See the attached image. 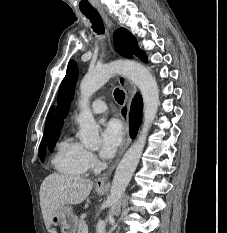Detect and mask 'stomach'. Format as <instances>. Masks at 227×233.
I'll use <instances>...</instances> for the list:
<instances>
[{
  "label": "stomach",
  "mask_w": 227,
  "mask_h": 233,
  "mask_svg": "<svg viewBox=\"0 0 227 233\" xmlns=\"http://www.w3.org/2000/svg\"><path fill=\"white\" fill-rule=\"evenodd\" d=\"M96 192L102 195L105 192V188L96 187ZM77 222V216L73 213L71 206H65L63 210L52 218V225L59 226L61 233H76Z\"/></svg>",
  "instance_id": "stomach-1"
}]
</instances>
